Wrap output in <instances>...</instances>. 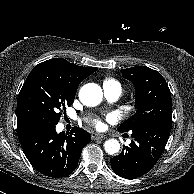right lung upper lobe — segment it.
<instances>
[{"mask_svg": "<svg viewBox=\"0 0 194 194\" xmlns=\"http://www.w3.org/2000/svg\"><path fill=\"white\" fill-rule=\"evenodd\" d=\"M34 69L49 70L69 90H72L75 93L81 81L97 70V68L95 67L86 68V67L78 66L73 63H69L65 59H61V58H54V59L44 61L38 64L37 66H35ZM26 125H29V124L17 119L18 129Z\"/></svg>", "mask_w": 194, "mask_h": 194, "instance_id": "obj_1", "label": "right lung upper lobe"}]
</instances>
